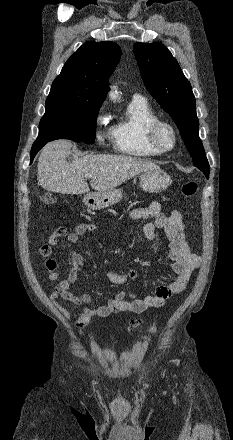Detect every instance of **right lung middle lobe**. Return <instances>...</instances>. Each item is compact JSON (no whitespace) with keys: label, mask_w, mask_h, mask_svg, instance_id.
I'll use <instances>...</instances> for the list:
<instances>
[{"label":"right lung middle lobe","mask_w":233,"mask_h":440,"mask_svg":"<svg viewBox=\"0 0 233 440\" xmlns=\"http://www.w3.org/2000/svg\"><path fill=\"white\" fill-rule=\"evenodd\" d=\"M100 103L52 101L46 102V112L40 121L38 142L70 139L94 143L95 124Z\"/></svg>","instance_id":"obj_1"}]
</instances>
